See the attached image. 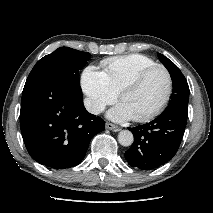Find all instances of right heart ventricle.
<instances>
[{
    "label": "right heart ventricle",
    "mask_w": 213,
    "mask_h": 213,
    "mask_svg": "<svg viewBox=\"0 0 213 213\" xmlns=\"http://www.w3.org/2000/svg\"><path fill=\"white\" fill-rule=\"evenodd\" d=\"M156 65L151 58L141 54H129L104 59L101 62L110 87L118 94L121 87L141 70Z\"/></svg>",
    "instance_id": "e07e8e85"
}]
</instances>
